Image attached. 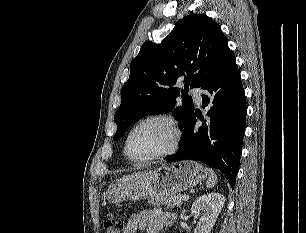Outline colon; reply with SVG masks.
<instances>
[{"label": "colon", "instance_id": "colon-1", "mask_svg": "<svg viewBox=\"0 0 306 233\" xmlns=\"http://www.w3.org/2000/svg\"><path fill=\"white\" fill-rule=\"evenodd\" d=\"M103 229L105 233H124L125 227L121 220L109 214L103 220Z\"/></svg>", "mask_w": 306, "mask_h": 233}]
</instances>
